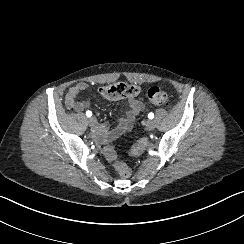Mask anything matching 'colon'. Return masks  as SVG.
<instances>
[{
	"instance_id": "obj_1",
	"label": "colon",
	"mask_w": 244,
	"mask_h": 244,
	"mask_svg": "<svg viewBox=\"0 0 244 244\" xmlns=\"http://www.w3.org/2000/svg\"><path fill=\"white\" fill-rule=\"evenodd\" d=\"M98 93L107 99H116L125 95L136 96L140 94V89L135 84L120 81L111 85L102 86L98 89ZM143 96L153 105H158L165 108H168L171 105V97L169 93L159 86L149 88L148 94ZM148 147V140L141 139L137 144L133 145L132 152L135 155H141L146 152ZM101 153L106 157L108 162H114L113 169L119 175L123 176L124 178H129L132 175V170L128 165L116 161L117 156L115 154V149L112 146L103 147Z\"/></svg>"
}]
</instances>
